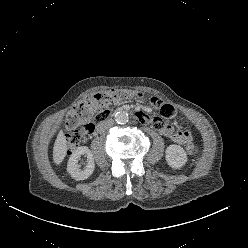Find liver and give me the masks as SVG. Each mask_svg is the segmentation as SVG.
Here are the masks:
<instances>
[{
    "mask_svg": "<svg viewBox=\"0 0 248 248\" xmlns=\"http://www.w3.org/2000/svg\"><path fill=\"white\" fill-rule=\"evenodd\" d=\"M66 152H67V142H66L63 132L60 131L56 138L54 148H53L54 163L60 164L64 160L66 156Z\"/></svg>",
    "mask_w": 248,
    "mask_h": 248,
    "instance_id": "liver-1",
    "label": "liver"
}]
</instances>
